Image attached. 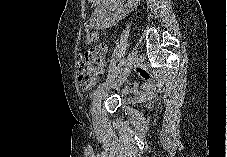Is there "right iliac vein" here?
Listing matches in <instances>:
<instances>
[{
  "mask_svg": "<svg viewBox=\"0 0 227 157\" xmlns=\"http://www.w3.org/2000/svg\"><path fill=\"white\" fill-rule=\"evenodd\" d=\"M136 60H137V54L135 53L130 58L128 65H126L125 70L122 71V73L119 75L118 79H116L106 90H103L100 93L99 97L97 98V100L93 106V121L95 124H97L99 121L101 101H102L103 97L106 95L107 90L110 88H118L125 82L133 65L136 63Z\"/></svg>",
  "mask_w": 227,
  "mask_h": 157,
  "instance_id": "63e3f726",
  "label": "right iliac vein"
}]
</instances>
